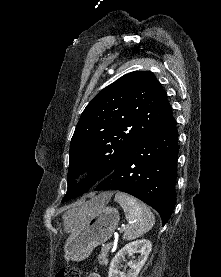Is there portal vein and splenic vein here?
I'll list each match as a JSON object with an SVG mask.
<instances>
[{
    "label": "portal vein and splenic vein",
    "instance_id": "portal-vein-and-splenic-vein-1",
    "mask_svg": "<svg viewBox=\"0 0 221 277\" xmlns=\"http://www.w3.org/2000/svg\"><path fill=\"white\" fill-rule=\"evenodd\" d=\"M111 246H112V243L110 242V243H107L104 248L109 250L111 248Z\"/></svg>",
    "mask_w": 221,
    "mask_h": 277
}]
</instances>
